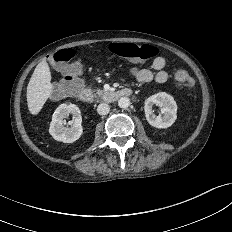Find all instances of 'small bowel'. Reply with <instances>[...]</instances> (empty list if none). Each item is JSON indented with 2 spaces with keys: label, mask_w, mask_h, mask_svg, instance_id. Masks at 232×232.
Returning a JSON list of instances; mask_svg holds the SVG:
<instances>
[{
  "label": "small bowel",
  "mask_w": 232,
  "mask_h": 232,
  "mask_svg": "<svg viewBox=\"0 0 232 232\" xmlns=\"http://www.w3.org/2000/svg\"><path fill=\"white\" fill-rule=\"evenodd\" d=\"M166 60L162 56H157L152 61V70L147 68L137 69L134 71L135 78L140 83H165L168 80V73L165 71Z\"/></svg>",
  "instance_id": "obj_1"
}]
</instances>
